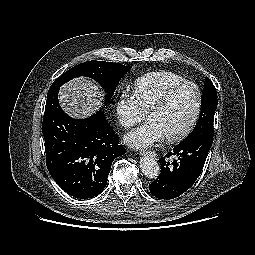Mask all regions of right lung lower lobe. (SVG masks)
I'll list each match as a JSON object with an SVG mask.
<instances>
[{
	"label": "right lung lower lobe",
	"instance_id": "98d812e1",
	"mask_svg": "<svg viewBox=\"0 0 255 255\" xmlns=\"http://www.w3.org/2000/svg\"><path fill=\"white\" fill-rule=\"evenodd\" d=\"M58 92L47 95L42 123L46 166L65 192L88 199L105 188L113 160L125 149L102 111L71 118L61 109Z\"/></svg>",
	"mask_w": 255,
	"mask_h": 255
}]
</instances>
